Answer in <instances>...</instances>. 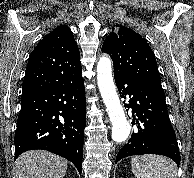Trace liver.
Masks as SVG:
<instances>
[{"label": "liver", "instance_id": "obj_1", "mask_svg": "<svg viewBox=\"0 0 194 178\" xmlns=\"http://www.w3.org/2000/svg\"><path fill=\"white\" fill-rule=\"evenodd\" d=\"M67 164V160L47 151H27L17 158L14 174L16 178H63Z\"/></svg>", "mask_w": 194, "mask_h": 178}]
</instances>
